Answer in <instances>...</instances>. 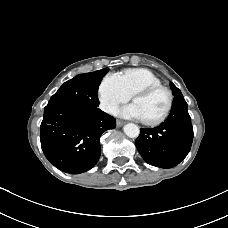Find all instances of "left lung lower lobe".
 <instances>
[{"label":"left lung lower lobe","instance_id":"1","mask_svg":"<svg viewBox=\"0 0 228 228\" xmlns=\"http://www.w3.org/2000/svg\"><path fill=\"white\" fill-rule=\"evenodd\" d=\"M192 141L193 127L187 103L182 94H177L166 121L155 128H141L135 144L148 164L172 168L187 156Z\"/></svg>","mask_w":228,"mask_h":228}]
</instances>
